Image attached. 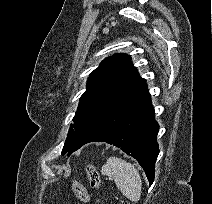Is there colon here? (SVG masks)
<instances>
[{
	"mask_svg": "<svg viewBox=\"0 0 212 204\" xmlns=\"http://www.w3.org/2000/svg\"><path fill=\"white\" fill-rule=\"evenodd\" d=\"M87 175L90 181V185L98 189L101 186V179L100 175L98 173V170L96 166L94 165H89L87 167ZM72 189L75 194V196L81 200L82 202H88L90 199L89 193L87 189L77 180H75L72 184Z\"/></svg>",
	"mask_w": 212,
	"mask_h": 204,
	"instance_id": "1",
	"label": "colon"
}]
</instances>
